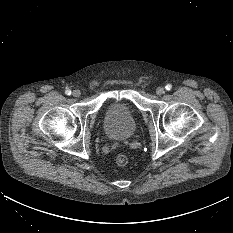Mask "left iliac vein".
<instances>
[{"label": "left iliac vein", "mask_w": 233, "mask_h": 233, "mask_svg": "<svg viewBox=\"0 0 233 233\" xmlns=\"http://www.w3.org/2000/svg\"><path fill=\"white\" fill-rule=\"evenodd\" d=\"M165 93V89L163 88V87H158L157 89H156V94L157 95H162V94H164Z\"/></svg>", "instance_id": "left-iliac-vein-1"}]
</instances>
